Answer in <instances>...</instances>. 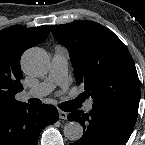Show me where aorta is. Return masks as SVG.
I'll use <instances>...</instances> for the list:
<instances>
[{
    "instance_id": "1",
    "label": "aorta",
    "mask_w": 145,
    "mask_h": 145,
    "mask_svg": "<svg viewBox=\"0 0 145 145\" xmlns=\"http://www.w3.org/2000/svg\"><path fill=\"white\" fill-rule=\"evenodd\" d=\"M22 68L31 76L40 77L48 72L50 60L40 48H30L22 56ZM64 136L70 141H77L83 135V127L75 121L68 122L63 129Z\"/></svg>"
}]
</instances>
